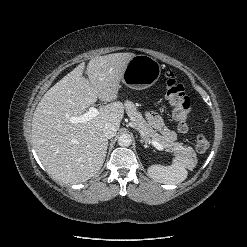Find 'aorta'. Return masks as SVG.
Instances as JSON below:
<instances>
[{"mask_svg": "<svg viewBox=\"0 0 247 247\" xmlns=\"http://www.w3.org/2000/svg\"><path fill=\"white\" fill-rule=\"evenodd\" d=\"M131 143H132V138H131V136L129 135V134H127V133H123V134H121L119 137H118V144L120 145V146H125V147H127V146H130L131 145Z\"/></svg>", "mask_w": 247, "mask_h": 247, "instance_id": "1", "label": "aorta"}]
</instances>
